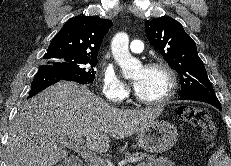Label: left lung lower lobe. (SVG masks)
Returning a JSON list of instances; mask_svg holds the SVG:
<instances>
[{
	"mask_svg": "<svg viewBox=\"0 0 231 166\" xmlns=\"http://www.w3.org/2000/svg\"><path fill=\"white\" fill-rule=\"evenodd\" d=\"M180 100H194V101H201V102H206L209 103L216 108H218L220 111H222L221 104L219 100L217 99L215 93H193V94H188L185 96H181Z\"/></svg>",
	"mask_w": 231,
	"mask_h": 166,
	"instance_id": "obj_1",
	"label": "left lung lower lobe"
}]
</instances>
